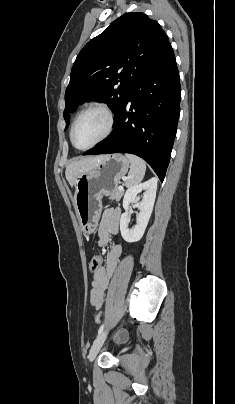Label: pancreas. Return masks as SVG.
I'll list each match as a JSON object with an SVG mask.
<instances>
[{
	"instance_id": "pancreas-1",
	"label": "pancreas",
	"mask_w": 235,
	"mask_h": 404,
	"mask_svg": "<svg viewBox=\"0 0 235 404\" xmlns=\"http://www.w3.org/2000/svg\"><path fill=\"white\" fill-rule=\"evenodd\" d=\"M123 194H124V191L123 190L121 191V190H119L118 187H116L113 190V192L111 193L110 199L119 201L122 198Z\"/></svg>"
}]
</instances>
